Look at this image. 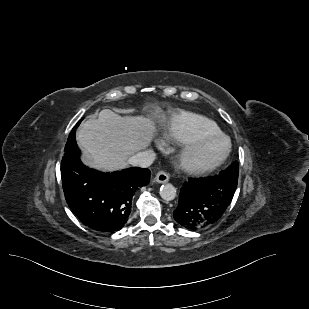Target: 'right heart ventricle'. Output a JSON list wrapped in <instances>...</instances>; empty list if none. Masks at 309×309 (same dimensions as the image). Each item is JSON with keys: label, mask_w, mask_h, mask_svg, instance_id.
<instances>
[{"label": "right heart ventricle", "mask_w": 309, "mask_h": 309, "mask_svg": "<svg viewBox=\"0 0 309 309\" xmlns=\"http://www.w3.org/2000/svg\"><path fill=\"white\" fill-rule=\"evenodd\" d=\"M216 133H220L216 123L191 112L174 115L163 129L164 138L175 143H185L198 135Z\"/></svg>", "instance_id": "1"}]
</instances>
